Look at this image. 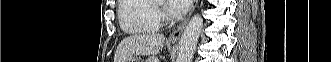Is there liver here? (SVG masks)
<instances>
[{"label":"liver","mask_w":331,"mask_h":62,"mask_svg":"<svg viewBox=\"0 0 331 62\" xmlns=\"http://www.w3.org/2000/svg\"><path fill=\"white\" fill-rule=\"evenodd\" d=\"M162 34L144 33L123 39L117 47L114 62H127L133 56L156 55L163 49Z\"/></svg>","instance_id":"obj_1"}]
</instances>
